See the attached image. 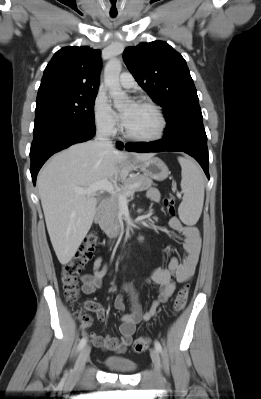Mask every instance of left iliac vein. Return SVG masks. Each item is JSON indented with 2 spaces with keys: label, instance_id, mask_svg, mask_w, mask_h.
I'll list each match as a JSON object with an SVG mask.
<instances>
[{
  "label": "left iliac vein",
  "instance_id": "1",
  "mask_svg": "<svg viewBox=\"0 0 261 399\" xmlns=\"http://www.w3.org/2000/svg\"><path fill=\"white\" fill-rule=\"evenodd\" d=\"M151 359L153 362L154 366V371L157 379H162L161 375V360H160V355L156 349H151Z\"/></svg>",
  "mask_w": 261,
  "mask_h": 399
}]
</instances>
